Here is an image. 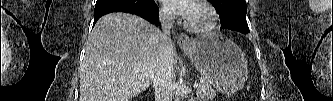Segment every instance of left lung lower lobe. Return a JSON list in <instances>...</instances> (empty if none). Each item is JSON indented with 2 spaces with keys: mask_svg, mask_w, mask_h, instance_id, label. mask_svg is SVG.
<instances>
[{
  "mask_svg": "<svg viewBox=\"0 0 333 101\" xmlns=\"http://www.w3.org/2000/svg\"><path fill=\"white\" fill-rule=\"evenodd\" d=\"M237 1H238V3H240V6H246V1L245 0H237ZM220 3L222 4V0H220ZM224 28H226V29H230V28L236 29L232 24H224L221 21V29H224ZM237 31L241 32L243 34H247V33H249V27L247 25H245V26L243 25V26L237 28Z\"/></svg>",
  "mask_w": 333,
  "mask_h": 101,
  "instance_id": "obj_1",
  "label": "left lung lower lobe"
}]
</instances>
